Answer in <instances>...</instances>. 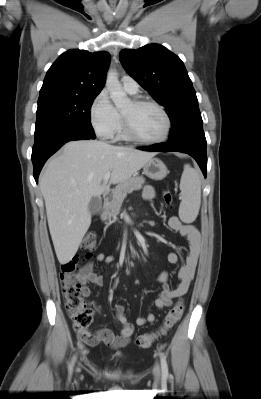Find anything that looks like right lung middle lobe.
<instances>
[{
	"label": "right lung middle lobe",
	"instance_id": "1",
	"mask_svg": "<svg viewBox=\"0 0 261 399\" xmlns=\"http://www.w3.org/2000/svg\"><path fill=\"white\" fill-rule=\"evenodd\" d=\"M96 96L52 94L39 97L35 131L55 124L93 131L90 107Z\"/></svg>",
	"mask_w": 261,
	"mask_h": 399
}]
</instances>
